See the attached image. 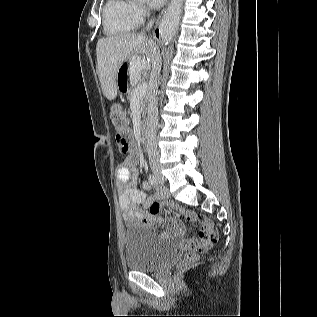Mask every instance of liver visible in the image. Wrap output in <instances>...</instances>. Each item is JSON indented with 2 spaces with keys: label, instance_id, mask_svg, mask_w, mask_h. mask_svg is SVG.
Segmentation results:
<instances>
[{
  "label": "liver",
  "instance_id": "1",
  "mask_svg": "<svg viewBox=\"0 0 317 317\" xmlns=\"http://www.w3.org/2000/svg\"><path fill=\"white\" fill-rule=\"evenodd\" d=\"M156 44L143 34L127 33L99 39L96 46L97 72L104 96L113 100L117 96L116 77L121 64L133 57L141 69H148L146 56L153 64Z\"/></svg>",
  "mask_w": 317,
  "mask_h": 317
}]
</instances>
